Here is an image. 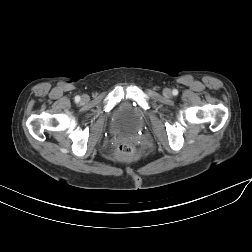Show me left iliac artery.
Instances as JSON below:
<instances>
[{
  "mask_svg": "<svg viewBox=\"0 0 252 252\" xmlns=\"http://www.w3.org/2000/svg\"><path fill=\"white\" fill-rule=\"evenodd\" d=\"M178 91L176 89L173 90V95H177Z\"/></svg>",
  "mask_w": 252,
  "mask_h": 252,
  "instance_id": "left-iliac-artery-1",
  "label": "left iliac artery"
}]
</instances>
